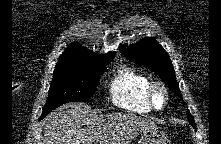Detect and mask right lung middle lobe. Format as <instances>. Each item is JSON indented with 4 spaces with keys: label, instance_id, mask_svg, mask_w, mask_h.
Returning a JSON list of instances; mask_svg holds the SVG:
<instances>
[{
    "label": "right lung middle lobe",
    "instance_id": "1",
    "mask_svg": "<svg viewBox=\"0 0 221 144\" xmlns=\"http://www.w3.org/2000/svg\"><path fill=\"white\" fill-rule=\"evenodd\" d=\"M56 66L41 118L67 102H84L94 94L99 78L110 63Z\"/></svg>",
    "mask_w": 221,
    "mask_h": 144
}]
</instances>
